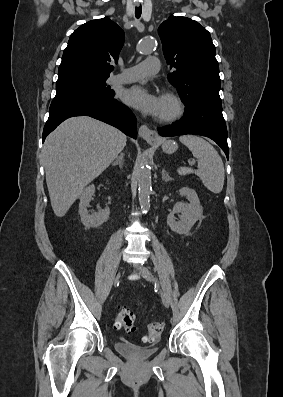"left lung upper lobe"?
Wrapping results in <instances>:
<instances>
[{
  "mask_svg": "<svg viewBox=\"0 0 283 397\" xmlns=\"http://www.w3.org/2000/svg\"><path fill=\"white\" fill-rule=\"evenodd\" d=\"M163 53L174 71L168 80L185 104H206L222 109L221 80L210 33L198 22L170 16L158 28Z\"/></svg>",
  "mask_w": 283,
  "mask_h": 397,
  "instance_id": "1",
  "label": "left lung upper lobe"
}]
</instances>
